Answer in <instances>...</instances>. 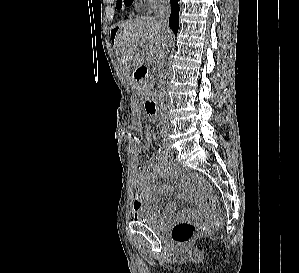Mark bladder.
<instances>
[{"mask_svg": "<svg viewBox=\"0 0 299 273\" xmlns=\"http://www.w3.org/2000/svg\"><path fill=\"white\" fill-rule=\"evenodd\" d=\"M169 219H164L158 216L153 215L149 211H144L140 213L138 220L146 227L151 229L154 232L162 233L165 231Z\"/></svg>", "mask_w": 299, "mask_h": 273, "instance_id": "obj_1", "label": "bladder"}]
</instances>
